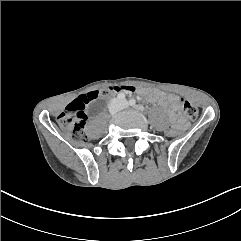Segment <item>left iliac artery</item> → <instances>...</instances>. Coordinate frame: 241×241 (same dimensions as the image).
Returning a JSON list of instances; mask_svg holds the SVG:
<instances>
[{"label":"left iliac artery","mask_w":241,"mask_h":241,"mask_svg":"<svg viewBox=\"0 0 241 241\" xmlns=\"http://www.w3.org/2000/svg\"><path fill=\"white\" fill-rule=\"evenodd\" d=\"M129 104H130L131 106H135V105H136L135 99H130V100H129ZM136 107L139 108L138 106H136Z\"/></svg>","instance_id":"obj_1"}]
</instances>
